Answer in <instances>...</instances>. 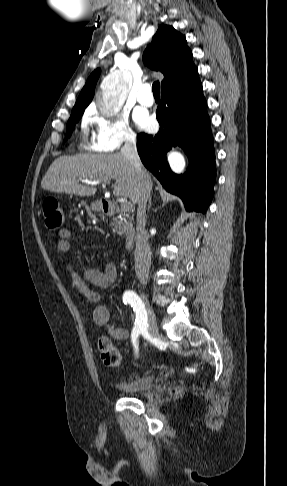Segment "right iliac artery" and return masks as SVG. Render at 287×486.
Segmentation results:
<instances>
[{"mask_svg":"<svg viewBox=\"0 0 287 486\" xmlns=\"http://www.w3.org/2000/svg\"><path fill=\"white\" fill-rule=\"evenodd\" d=\"M123 302L125 304H130L136 314L135 326L132 330V342L136 349V352H138L137 339L139 335L142 334L144 338L149 340L151 339L150 334L147 331V312L144 303L141 301L139 296L132 290L124 292Z\"/></svg>","mask_w":287,"mask_h":486,"instance_id":"obj_1","label":"right iliac artery"}]
</instances>
